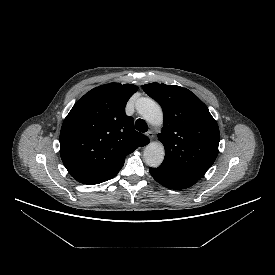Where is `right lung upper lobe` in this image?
Segmentation results:
<instances>
[{
  "instance_id": "obj_1",
  "label": "right lung upper lobe",
  "mask_w": 275,
  "mask_h": 275,
  "mask_svg": "<svg viewBox=\"0 0 275 275\" xmlns=\"http://www.w3.org/2000/svg\"><path fill=\"white\" fill-rule=\"evenodd\" d=\"M138 87L110 83L79 99L60 132V156L70 175L83 184H98L117 175L125 157L149 143L134 129L125 106Z\"/></svg>"
}]
</instances>
